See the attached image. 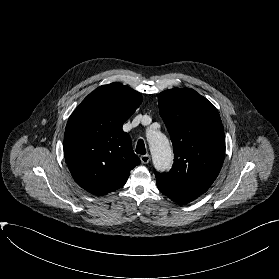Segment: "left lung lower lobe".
<instances>
[{"mask_svg":"<svg viewBox=\"0 0 279 279\" xmlns=\"http://www.w3.org/2000/svg\"><path fill=\"white\" fill-rule=\"evenodd\" d=\"M157 186H158V189L164 195H166L167 197H169L171 200L175 201L176 203L186 204V203H189V202L195 200V198H193V197H190V196L183 195V194H180L178 192L172 191L171 189H169L165 186L158 185V184H157Z\"/></svg>","mask_w":279,"mask_h":279,"instance_id":"0a47b994","label":"left lung lower lobe"}]
</instances>
